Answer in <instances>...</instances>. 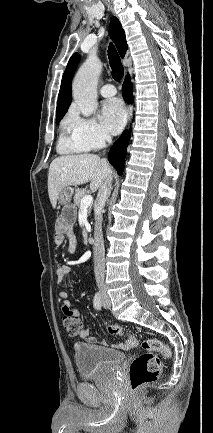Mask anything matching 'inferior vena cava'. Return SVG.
<instances>
[{
	"label": "inferior vena cava",
	"instance_id": "inferior-vena-cava-1",
	"mask_svg": "<svg viewBox=\"0 0 213 433\" xmlns=\"http://www.w3.org/2000/svg\"><path fill=\"white\" fill-rule=\"evenodd\" d=\"M108 143L112 141L110 135H106ZM112 176L109 175L101 185L95 204V227H94V272L96 283L101 292L106 291L104 283L105 276V248L102 234V210L112 189Z\"/></svg>",
	"mask_w": 213,
	"mask_h": 433
}]
</instances>
